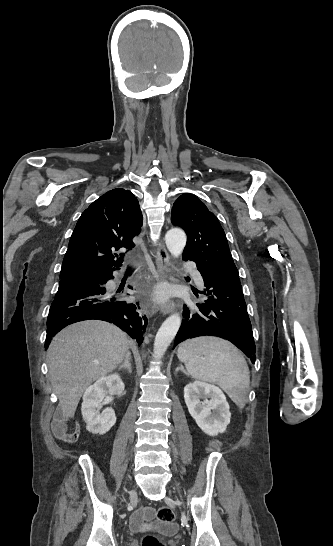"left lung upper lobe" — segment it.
<instances>
[{"label":"left lung upper lobe","mask_w":333,"mask_h":546,"mask_svg":"<svg viewBox=\"0 0 333 546\" xmlns=\"http://www.w3.org/2000/svg\"><path fill=\"white\" fill-rule=\"evenodd\" d=\"M171 222L187 234L183 255L191 256L217 276L238 277L223 228L196 196L184 193L174 202Z\"/></svg>","instance_id":"5c2ea615"}]
</instances>
